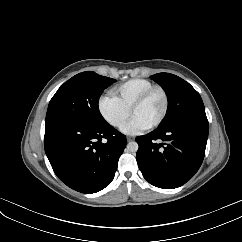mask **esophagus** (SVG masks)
Segmentation results:
<instances>
[{
  "label": "esophagus",
  "mask_w": 242,
  "mask_h": 242,
  "mask_svg": "<svg viewBox=\"0 0 242 242\" xmlns=\"http://www.w3.org/2000/svg\"><path fill=\"white\" fill-rule=\"evenodd\" d=\"M132 140H134V137H130V136L127 137V141H128V142H130V141H132Z\"/></svg>",
  "instance_id": "esophagus-1"
}]
</instances>
